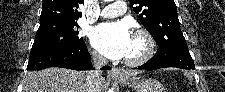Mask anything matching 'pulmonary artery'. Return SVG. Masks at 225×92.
Instances as JSON below:
<instances>
[{
  "label": "pulmonary artery",
  "instance_id": "pulmonary-artery-1",
  "mask_svg": "<svg viewBox=\"0 0 225 92\" xmlns=\"http://www.w3.org/2000/svg\"><path fill=\"white\" fill-rule=\"evenodd\" d=\"M126 4L123 1H115L109 3L100 13L103 18H112L126 12Z\"/></svg>",
  "mask_w": 225,
  "mask_h": 92
}]
</instances>
